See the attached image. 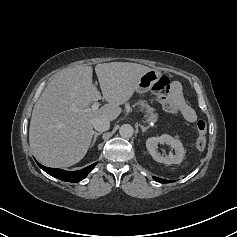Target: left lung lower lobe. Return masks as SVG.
Returning a JSON list of instances; mask_svg holds the SVG:
<instances>
[{"instance_id": "0a47b994", "label": "left lung lower lobe", "mask_w": 237, "mask_h": 237, "mask_svg": "<svg viewBox=\"0 0 237 237\" xmlns=\"http://www.w3.org/2000/svg\"><path fill=\"white\" fill-rule=\"evenodd\" d=\"M156 181L160 182V183H169L170 181L168 180H164V179H160V178H157V177H153Z\"/></svg>"}]
</instances>
